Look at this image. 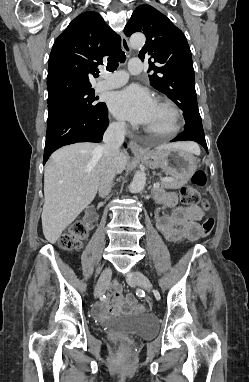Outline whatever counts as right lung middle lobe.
Masks as SVG:
<instances>
[{
	"instance_id": "1",
	"label": "right lung middle lobe",
	"mask_w": 249,
	"mask_h": 382,
	"mask_svg": "<svg viewBox=\"0 0 249 382\" xmlns=\"http://www.w3.org/2000/svg\"><path fill=\"white\" fill-rule=\"evenodd\" d=\"M104 103L94 96L93 89L75 93L48 103V125L61 119L80 116L95 115Z\"/></svg>"
}]
</instances>
